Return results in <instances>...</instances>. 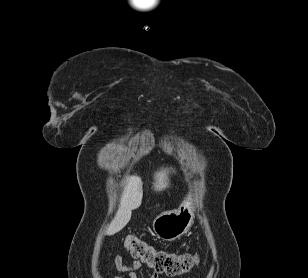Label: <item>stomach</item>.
Here are the masks:
<instances>
[{
    "instance_id": "1",
    "label": "stomach",
    "mask_w": 308,
    "mask_h": 278,
    "mask_svg": "<svg viewBox=\"0 0 308 278\" xmlns=\"http://www.w3.org/2000/svg\"><path fill=\"white\" fill-rule=\"evenodd\" d=\"M194 211L192 196L188 195L177 210L166 211L158 215L153 221V230L163 240L178 239L192 226Z\"/></svg>"
}]
</instances>
